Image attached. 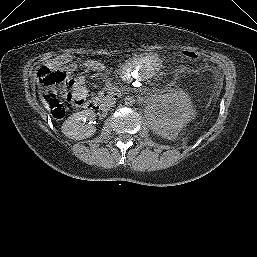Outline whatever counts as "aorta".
I'll return each instance as SVG.
<instances>
[{
  "instance_id": "aorta-1",
  "label": "aorta",
  "mask_w": 257,
  "mask_h": 257,
  "mask_svg": "<svg viewBox=\"0 0 257 257\" xmlns=\"http://www.w3.org/2000/svg\"><path fill=\"white\" fill-rule=\"evenodd\" d=\"M125 105L132 106L135 103V99L133 96H126L125 97Z\"/></svg>"
}]
</instances>
